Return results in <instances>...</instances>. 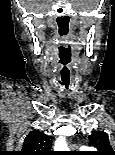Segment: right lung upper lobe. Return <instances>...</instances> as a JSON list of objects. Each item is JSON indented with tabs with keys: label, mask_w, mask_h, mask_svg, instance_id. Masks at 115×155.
<instances>
[{
	"label": "right lung upper lobe",
	"mask_w": 115,
	"mask_h": 155,
	"mask_svg": "<svg viewBox=\"0 0 115 155\" xmlns=\"http://www.w3.org/2000/svg\"><path fill=\"white\" fill-rule=\"evenodd\" d=\"M51 143L50 137L39 130H33L24 139L19 155H55L51 151Z\"/></svg>",
	"instance_id": "right-lung-upper-lobe-1"
}]
</instances>
